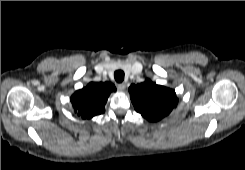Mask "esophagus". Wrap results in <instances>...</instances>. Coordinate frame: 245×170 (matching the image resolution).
<instances>
[{"mask_svg": "<svg viewBox=\"0 0 245 170\" xmlns=\"http://www.w3.org/2000/svg\"><path fill=\"white\" fill-rule=\"evenodd\" d=\"M117 88L120 90V91H124L125 88H126V85L124 83H120L117 85Z\"/></svg>", "mask_w": 245, "mask_h": 170, "instance_id": "1", "label": "esophagus"}]
</instances>
